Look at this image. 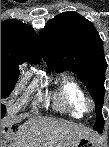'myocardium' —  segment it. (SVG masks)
Returning a JSON list of instances; mask_svg holds the SVG:
<instances>
[{"label":"myocardium","mask_w":109,"mask_h":147,"mask_svg":"<svg viewBox=\"0 0 109 147\" xmlns=\"http://www.w3.org/2000/svg\"><path fill=\"white\" fill-rule=\"evenodd\" d=\"M85 107L87 111H92L95 108V103L91 98L85 99Z\"/></svg>","instance_id":"1"}]
</instances>
